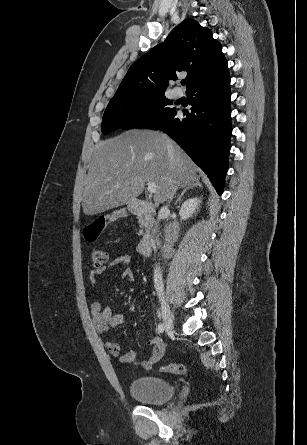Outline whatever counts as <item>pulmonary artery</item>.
Returning a JSON list of instances; mask_svg holds the SVG:
<instances>
[{
  "instance_id": "obj_1",
  "label": "pulmonary artery",
  "mask_w": 307,
  "mask_h": 445,
  "mask_svg": "<svg viewBox=\"0 0 307 445\" xmlns=\"http://www.w3.org/2000/svg\"><path fill=\"white\" fill-rule=\"evenodd\" d=\"M171 93H172V95H173L175 98H178V97L181 96V91H180V89H179L178 86H174V87L171 89Z\"/></svg>"
}]
</instances>
